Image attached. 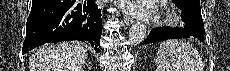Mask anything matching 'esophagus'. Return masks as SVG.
<instances>
[{"label": "esophagus", "mask_w": 230, "mask_h": 71, "mask_svg": "<svg viewBox=\"0 0 230 71\" xmlns=\"http://www.w3.org/2000/svg\"><path fill=\"white\" fill-rule=\"evenodd\" d=\"M124 22L127 26H130L134 22V20L129 15H125Z\"/></svg>", "instance_id": "obj_1"}]
</instances>
